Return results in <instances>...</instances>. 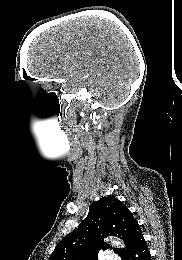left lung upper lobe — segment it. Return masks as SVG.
I'll return each instance as SVG.
<instances>
[{
	"mask_svg": "<svg viewBox=\"0 0 182 260\" xmlns=\"http://www.w3.org/2000/svg\"><path fill=\"white\" fill-rule=\"evenodd\" d=\"M137 226L126 205L114 196L102 197L90 206L79 227L58 243L49 260H97L99 250L110 248L105 237L118 235L126 245ZM114 251L120 255L124 250Z\"/></svg>",
	"mask_w": 182,
	"mask_h": 260,
	"instance_id": "1",
	"label": "left lung upper lobe"
}]
</instances>
